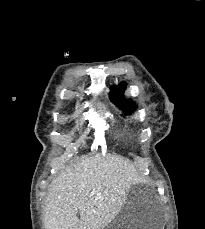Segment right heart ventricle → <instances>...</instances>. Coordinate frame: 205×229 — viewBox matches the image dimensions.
Listing matches in <instances>:
<instances>
[{
	"mask_svg": "<svg viewBox=\"0 0 205 229\" xmlns=\"http://www.w3.org/2000/svg\"><path fill=\"white\" fill-rule=\"evenodd\" d=\"M116 133L121 134V129L116 128Z\"/></svg>",
	"mask_w": 205,
	"mask_h": 229,
	"instance_id": "right-heart-ventricle-1",
	"label": "right heart ventricle"
}]
</instances>
